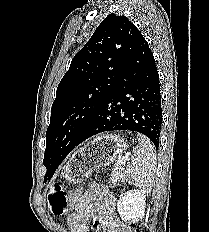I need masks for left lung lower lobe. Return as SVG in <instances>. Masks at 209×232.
<instances>
[{
    "instance_id": "1",
    "label": "left lung lower lobe",
    "mask_w": 209,
    "mask_h": 232,
    "mask_svg": "<svg viewBox=\"0 0 209 232\" xmlns=\"http://www.w3.org/2000/svg\"><path fill=\"white\" fill-rule=\"evenodd\" d=\"M161 125L159 75L152 51L142 36L116 86L79 136L75 147L101 132L128 130L146 135L158 148Z\"/></svg>"
}]
</instances>
